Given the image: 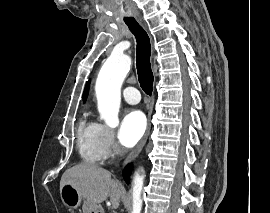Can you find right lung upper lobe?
I'll list each match as a JSON object with an SVG mask.
<instances>
[{"label":"right lung upper lobe","mask_w":270,"mask_h":213,"mask_svg":"<svg viewBox=\"0 0 270 213\" xmlns=\"http://www.w3.org/2000/svg\"><path fill=\"white\" fill-rule=\"evenodd\" d=\"M88 91H89V83L86 85L84 93H83V99L84 100L87 98Z\"/></svg>","instance_id":"obj_1"}]
</instances>
